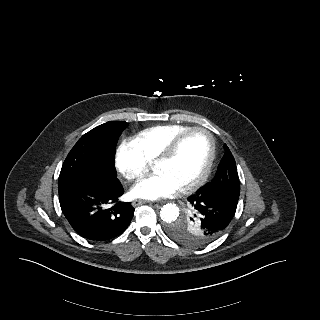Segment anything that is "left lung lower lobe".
Instances as JSON below:
<instances>
[{"label":"left lung lower lobe","instance_id":"1","mask_svg":"<svg viewBox=\"0 0 320 320\" xmlns=\"http://www.w3.org/2000/svg\"><path fill=\"white\" fill-rule=\"evenodd\" d=\"M188 201L199 213L204 234L210 240L221 236L236 212L238 200L200 189Z\"/></svg>","mask_w":320,"mask_h":320}]
</instances>
